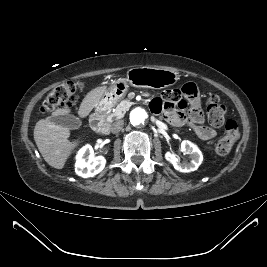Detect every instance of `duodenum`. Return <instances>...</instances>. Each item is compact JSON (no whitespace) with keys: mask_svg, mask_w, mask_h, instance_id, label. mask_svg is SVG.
<instances>
[{"mask_svg":"<svg viewBox=\"0 0 267 267\" xmlns=\"http://www.w3.org/2000/svg\"><path fill=\"white\" fill-rule=\"evenodd\" d=\"M90 123L92 129L100 135H104L108 132V123L105 121L104 113L102 111H96L91 115Z\"/></svg>","mask_w":267,"mask_h":267,"instance_id":"410a0bca","label":"duodenum"}]
</instances>
